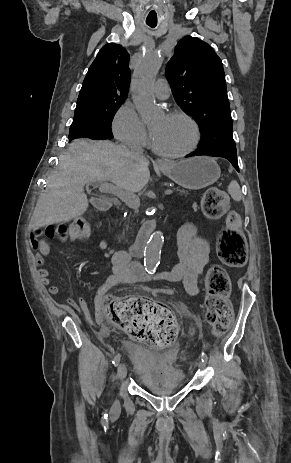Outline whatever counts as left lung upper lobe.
<instances>
[{"mask_svg": "<svg viewBox=\"0 0 291 463\" xmlns=\"http://www.w3.org/2000/svg\"><path fill=\"white\" fill-rule=\"evenodd\" d=\"M166 74L177 104L200 127L198 148L236 152L224 69L213 48L199 38L184 37Z\"/></svg>", "mask_w": 291, "mask_h": 463, "instance_id": "5c2ea615", "label": "left lung upper lobe"}]
</instances>
